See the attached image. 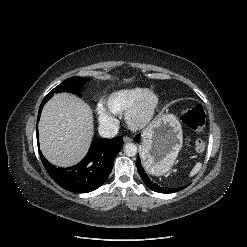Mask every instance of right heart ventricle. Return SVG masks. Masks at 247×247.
<instances>
[{
	"instance_id": "e07e8e85",
	"label": "right heart ventricle",
	"mask_w": 247,
	"mask_h": 247,
	"mask_svg": "<svg viewBox=\"0 0 247 247\" xmlns=\"http://www.w3.org/2000/svg\"><path fill=\"white\" fill-rule=\"evenodd\" d=\"M148 91L147 88L142 87L120 89L108 95L103 100L102 105L109 113L122 114L125 113L137 99Z\"/></svg>"
}]
</instances>
